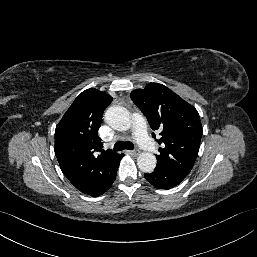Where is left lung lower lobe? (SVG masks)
<instances>
[{
    "label": "left lung lower lobe",
    "mask_w": 257,
    "mask_h": 257,
    "mask_svg": "<svg viewBox=\"0 0 257 257\" xmlns=\"http://www.w3.org/2000/svg\"><path fill=\"white\" fill-rule=\"evenodd\" d=\"M144 176L148 182L160 189H170L175 187L185 178L159 166H156L154 172L144 174Z\"/></svg>",
    "instance_id": "1"
}]
</instances>
